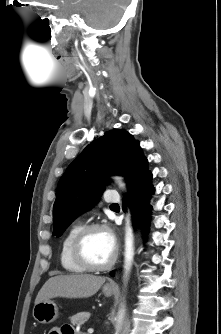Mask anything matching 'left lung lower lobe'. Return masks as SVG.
I'll return each mask as SVG.
<instances>
[{"label":"left lung lower lobe","instance_id":"1","mask_svg":"<svg viewBox=\"0 0 221 334\" xmlns=\"http://www.w3.org/2000/svg\"><path fill=\"white\" fill-rule=\"evenodd\" d=\"M151 179L152 173L146 165L128 185L130 194L129 202L131 203L132 212L138 213L144 236L147 233L149 223V196L155 191L151 185ZM123 209H125V206H123Z\"/></svg>","mask_w":221,"mask_h":334}]
</instances>
